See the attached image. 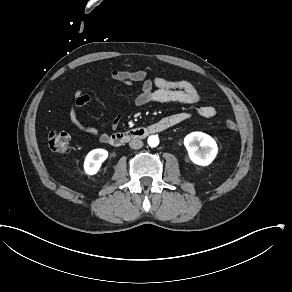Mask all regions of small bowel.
I'll return each instance as SVG.
<instances>
[{"instance_id": "c3829d8e", "label": "small bowel", "mask_w": 292, "mask_h": 292, "mask_svg": "<svg viewBox=\"0 0 292 292\" xmlns=\"http://www.w3.org/2000/svg\"><path fill=\"white\" fill-rule=\"evenodd\" d=\"M110 78L126 85L141 83V92L134 101L138 107L166 102H179L199 106L202 102V96L195 86L185 80L171 81L161 75L150 79L143 70L128 71L121 69L113 70L110 73ZM101 80L108 81V77L102 76ZM91 99L92 96L90 94L81 90L75 91L74 100L69 109V120L77 130L90 135H98L102 143H107L110 136L108 133H100L96 127L84 124L79 118L78 111L88 104ZM197 114L202 118L210 119L216 116L217 110L213 106L202 105L198 107ZM191 116L190 112H179L161 119L157 124L161 125L160 130L163 131L189 120ZM119 121V117H116L112 122V127L116 128Z\"/></svg>"}]
</instances>
